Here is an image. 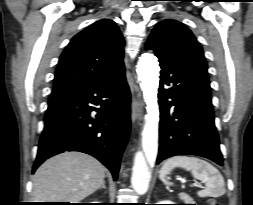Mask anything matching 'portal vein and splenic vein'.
<instances>
[{
  "label": "portal vein and splenic vein",
  "instance_id": "18ae733b",
  "mask_svg": "<svg viewBox=\"0 0 253 205\" xmlns=\"http://www.w3.org/2000/svg\"><path fill=\"white\" fill-rule=\"evenodd\" d=\"M193 186H199L200 187V185L198 184V183H193Z\"/></svg>",
  "mask_w": 253,
  "mask_h": 205
}]
</instances>
